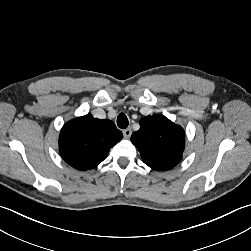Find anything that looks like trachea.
I'll return each instance as SVG.
<instances>
[{
	"label": "trachea",
	"instance_id": "1",
	"mask_svg": "<svg viewBox=\"0 0 251 251\" xmlns=\"http://www.w3.org/2000/svg\"><path fill=\"white\" fill-rule=\"evenodd\" d=\"M129 121L124 113H120L117 117V125L121 129H126L128 127Z\"/></svg>",
	"mask_w": 251,
	"mask_h": 251
}]
</instances>
